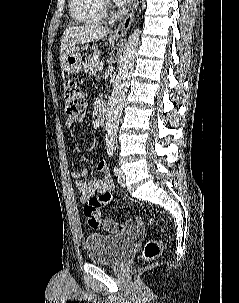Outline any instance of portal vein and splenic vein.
Segmentation results:
<instances>
[{"instance_id":"obj_1","label":"portal vein and splenic vein","mask_w":239,"mask_h":303,"mask_svg":"<svg viewBox=\"0 0 239 303\" xmlns=\"http://www.w3.org/2000/svg\"><path fill=\"white\" fill-rule=\"evenodd\" d=\"M97 68H98V70H102L103 69V63H99Z\"/></svg>"}]
</instances>
